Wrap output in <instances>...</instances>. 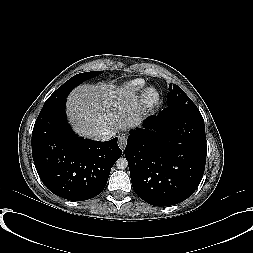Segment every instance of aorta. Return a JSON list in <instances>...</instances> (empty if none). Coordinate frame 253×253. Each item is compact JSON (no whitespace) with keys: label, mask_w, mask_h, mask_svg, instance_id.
<instances>
[{"label":"aorta","mask_w":253,"mask_h":253,"mask_svg":"<svg viewBox=\"0 0 253 253\" xmlns=\"http://www.w3.org/2000/svg\"><path fill=\"white\" fill-rule=\"evenodd\" d=\"M116 166L118 169H126L128 167V161L125 157H120L119 159H117L116 161Z\"/></svg>","instance_id":"obj_1"}]
</instances>
